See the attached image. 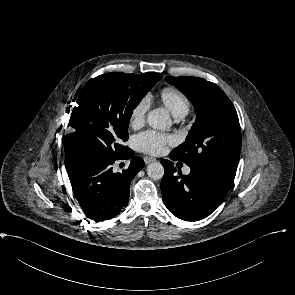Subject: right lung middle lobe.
<instances>
[{"label": "right lung middle lobe", "mask_w": 295, "mask_h": 295, "mask_svg": "<svg viewBox=\"0 0 295 295\" xmlns=\"http://www.w3.org/2000/svg\"><path fill=\"white\" fill-rule=\"evenodd\" d=\"M160 79L156 73L116 72L90 79L71 110L72 133L63 138L66 169L90 155L123 156L133 110Z\"/></svg>", "instance_id": "1"}]
</instances>
